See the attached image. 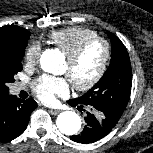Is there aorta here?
I'll list each match as a JSON object with an SVG mask.
<instances>
[{
  "label": "aorta",
  "mask_w": 153,
  "mask_h": 153,
  "mask_svg": "<svg viewBox=\"0 0 153 153\" xmlns=\"http://www.w3.org/2000/svg\"><path fill=\"white\" fill-rule=\"evenodd\" d=\"M41 68L48 73L57 74L60 58L53 50H46L40 57ZM59 131L65 135H75L81 129V118L72 111H65L58 115L56 120Z\"/></svg>",
  "instance_id": "1"
}]
</instances>
